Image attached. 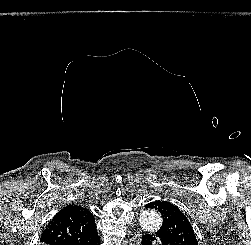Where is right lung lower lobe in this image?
Wrapping results in <instances>:
<instances>
[{"label":"right lung lower lobe","instance_id":"1","mask_svg":"<svg viewBox=\"0 0 251 245\" xmlns=\"http://www.w3.org/2000/svg\"><path fill=\"white\" fill-rule=\"evenodd\" d=\"M60 245H100V239L98 234H96L95 236L88 239L68 241L65 243H61Z\"/></svg>","mask_w":251,"mask_h":245}]
</instances>
